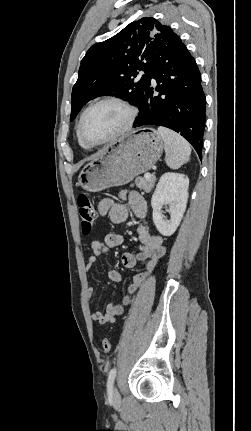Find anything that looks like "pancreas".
Returning <instances> with one entry per match:
<instances>
[{
	"instance_id": "1",
	"label": "pancreas",
	"mask_w": 251,
	"mask_h": 431,
	"mask_svg": "<svg viewBox=\"0 0 251 431\" xmlns=\"http://www.w3.org/2000/svg\"><path fill=\"white\" fill-rule=\"evenodd\" d=\"M156 179L155 178H151V179H146V178H142V177H137L135 179V185L139 188L144 190L146 193H149L152 191L153 187H154V183H155Z\"/></svg>"
}]
</instances>
